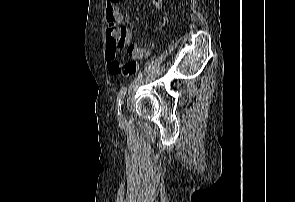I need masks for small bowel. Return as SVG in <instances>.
Listing matches in <instances>:
<instances>
[{"mask_svg":"<svg viewBox=\"0 0 295 202\" xmlns=\"http://www.w3.org/2000/svg\"><path fill=\"white\" fill-rule=\"evenodd\" d=\"M151 3L156 11L162 9L163 0H151ZM106 15L108 22L116 21L117 23H121L123 21V16L118 10L115 1L109 0V2H107ZM116 31L122 39L120 48L127 47V53L131 59H142L149 54V49H142L138 45L129 44L131 31L128 26H119ZM106 56L109 60V72L115 77L134 73L137 69V66L133 63H120L119 47H109L107 44ZM116 68H118V70Z\"/></svg>","mask_w":295,"mask_h":202,"instance_id":"small-bowel-1","label":"small bowel"}]
</instances>
